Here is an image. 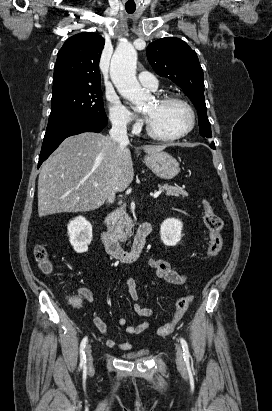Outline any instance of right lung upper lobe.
I'll return each mask as SVG.
<instances>
[{
	"instance_id": "right-lung-upper-lobe-1",
	"label": "right lung upper lobe",
	"mask_w": 272,
	"mask_h": 411,
	"mask_svg": "<svg viewBox=\"0 0 272 411\" xmlns=\"http://www.w3.org/2000/svg\"><path fill=\"white\" fill-rule=\"evenodd\" d=\"M104 42L94 32L79 33L66 40L54 68L53 94L70 88L100 86L98 63Z\"/></svg>"
}]
</instances>
